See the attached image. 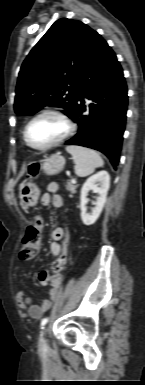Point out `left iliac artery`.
<instances>
[{"mask_svg": "<svg viewBox=\"0 0 145 385\" xmlns=\"http://www.w3.org/2000/svg\"><path fill=\"white\" fill-rule=\"evenodd\" d=\"M48 322V318H43L42 321H41V328H43Z\"/></svg>", "mask_w": 145, "mask_h": 385, "instance_id": "left-iliac-artery-1", "label": "left iliac artery"}]
</instances>
